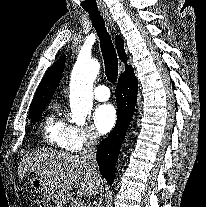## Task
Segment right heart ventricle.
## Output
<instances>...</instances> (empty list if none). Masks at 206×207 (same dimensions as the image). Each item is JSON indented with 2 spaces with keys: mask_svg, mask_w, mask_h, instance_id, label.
Here are the masks:
<instances>
[{
  "mask_svg": "<svg viewBox=\"0 0 206 207\" xmlns=\"http://www.w3.org/2000/svg\"><path fill=\"white\" fill-rule=\"evenodd\" d=\"M67 124L58 117L55 111L50 112L42 124V135L47 144L62 149H68L66 146Z\"/></svg>",
  "mask_w": 206,
  "mask_h": 207,
  "instance_id": "e07e8e85",
  "label": "right heart ventricle"
}]
</instances>
